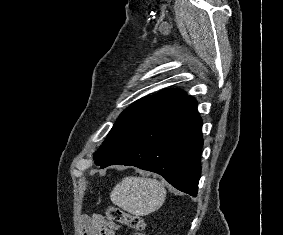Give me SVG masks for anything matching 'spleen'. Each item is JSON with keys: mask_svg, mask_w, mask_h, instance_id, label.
I'll use <instances>...</instances> for the list:
<instances>
[{"mask_svg": "<svg viewBox=\"0 0 283 235\" xmlns=\"http://www.w3.org/2000/svg\"><path fill=\"white\" fill-rule=\"evenodd\" d=\"M165 197L162 182L137 176L123 178L110 194L113 204L136 216H146L158 210Z\"/></svg>", "mask_w": 283, "mask_h": 235, "instance_id": "3e777b00", "label": "spleen"}]
</instances>
